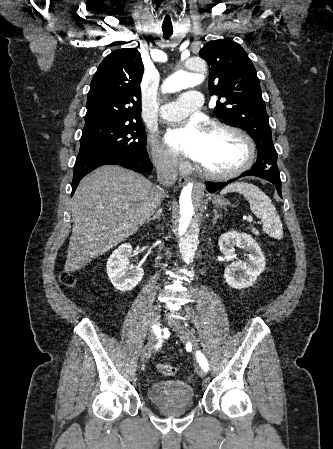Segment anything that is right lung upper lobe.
<instances>
[{
	"mask_svg": "<svg viewBox=\"0 0 333 449\" xmlns=\"http://www.w3.org/2000/svg\"><path fill=\"white\" fill-rule=\"evenodd\" d=\"M143 72L137 49H119L106 56L91 81L85 127L141 120Z\"/></svg>",
	"mask_w": 333,
	"mask_h": 449,
	"instance_id": "1",
	"label": "right lung upper lobe"
}]
</instances>
